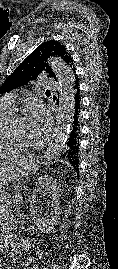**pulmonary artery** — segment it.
<instances>
[{
  "label": "pulmonary artery",
  "instance_id": "e3ab8cb5",
  "mask_svg": "<svg viewBox=\"0 0 118 269\" xmlns=\"http://www.w3.org/2000/svg\"><path fill=\"white\" fill-rule=\"evenodd\" d=\"M39 84L41 87L48 89H54L57 87V83L50 78H41L39 80ZM16 98L17 95L15 93H9L0 98V106L13 110Z\"/></svg>",
  "mask_w": 118,
  "mask_h": 269
}]
</instances>
